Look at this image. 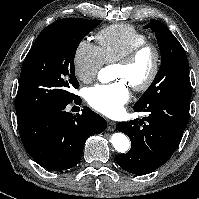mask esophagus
<instances>
[{
    "instance_id": "obj_1",
    "label": "esophagus",
    "mask_w": 199,
    "mask_h": 199,
    "mask_svg": "<svg viewBox=\"0 0 199 199\" xmlns=\"http://www.w3.org/2000/svg\"><path fill=\"white\" fill-rule=\"evenodd\" d=\"M107 123L108 130L113 131L116 128V123L114 121L108 120Z\"/></svg>"
}]
</instances>
